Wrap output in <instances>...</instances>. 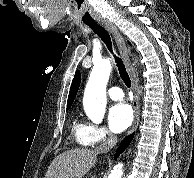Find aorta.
Segmentation results:
<instances>
[{"instance_id": "1", "label": "aorta", "mask_w": 194, "mask_h": 178, "mask_svg": "<svg viewBox=\"0 0 194 178\" xmlns=\"http://www.w3.org/2000/svg\"><path fill=\"white\" fill-rule=\"evenodd\" d=\"M111 72L109 59L101 60L94 64L87 82L83 106L86 115L95 123L102 122L106 108V85ZM123 164L114 166L108 178H122Z\"/></svg>"}]
</instances>
